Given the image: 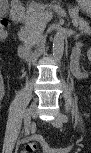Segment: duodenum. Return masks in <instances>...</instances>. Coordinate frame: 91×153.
<instances>
[{
  "instance_id": "410a0bca",
  "label": "duodenum",
  "mask_w": 91,
  "mask_h": 153,
  "mask_svg": "<svg viewBox=\"0 0 91 153\" xmlns=\"http://www.w3.org/2000/svg\"><path fill=\"white\" fill-rule=\"evenodd\" d=\"M17 21L24 19V12L21 9H17L13 12ZM38 51L30 49L28 46L21 44L18 47V55L24 60H30L37 56Z\"/></svg>"
}]
</instances>
